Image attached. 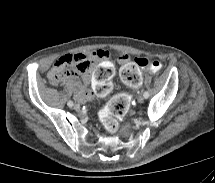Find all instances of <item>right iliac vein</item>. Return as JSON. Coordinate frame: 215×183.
<instances>
[{
	"label": "right iliac vein",
	"mask_w": 215,
	"mask_h": 183,
	"mask_svg": "<svg viewBox=\"0 0 215 183\" xmlns=\"http://www.w3.org/2000/svg\"><path fill=\"white\" fill-rule=\"evenodd\" d=\"M74 109H75L76 111L80 110V105H79V104H75V105H74Z\"/></svg>",
	"instance_id": "1"
}]
</instances>
